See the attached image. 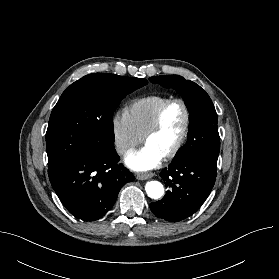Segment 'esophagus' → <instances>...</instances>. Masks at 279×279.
<instances>
[{
  "mask_svg": "<svg viewBox=\"0 0 279 279\" xmlns=\"http://www.w3.org/2000/svg\"><path fill=\"white\" fill-rule=\"evenodd\" d=\"M153 176H154L153 173L137 174L136 175V179H138V180H146V179L151 178Z\"/></svg>",
  "mask_w": 279,
  "mask_h": 279,
  "instance_id": "34e87169",
  "label": "esophagus"
}]
</instances>
